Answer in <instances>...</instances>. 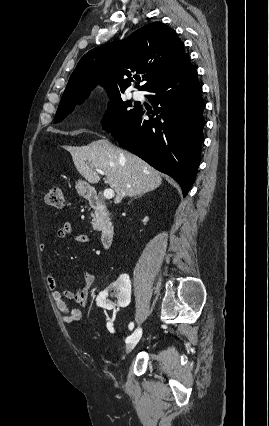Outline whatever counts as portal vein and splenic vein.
Masks as SVG:
<instances>
[{"mask_svg":"<svg viewBox=\"0 0 269 426\" xmlns=\"http://www.w3.org/2000/svg\"><path fill=\"white\" fill-rule=\"evenodd\" d=\"M95 170L102 175L105 174L104 171L101 170V169L97 168ZM103 195H104V198H106V199H112L114 197L115 193H114L113 189L107 188V189L104 190Z\"/></svg>","mask_w":269,"mask_h":426,"instance_id":"portal-vein-and-splenic-vein-1","label":"portal vein and splenic vein"}]
</instances>
